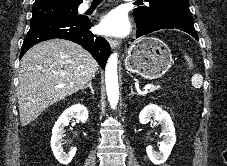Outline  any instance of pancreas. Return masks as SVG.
I'll return each instance as SVG.
<instances>
[{"instance_id":"obj_1","label":"pancreas","mask_w":227,"mask_h":166,"mask_svg":"<svg viewBox=\"0 0 227 166\" xmlns=\"http://www.w3.org/2000/svg\"><path fill=\"white\" fill-rule=\"evenodd\" d=\"M160 89V86H153L151 89H150V92H153L155 90H158Z\"/></svg>"}]
</instances>
